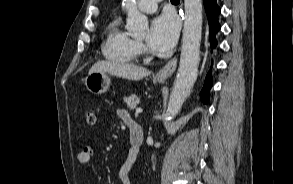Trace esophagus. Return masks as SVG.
<instances>
[{
	"mask_svg": "<svg viewBox=\"0 0 293 184\" xmlns=\"http://www.w3.org/2000/svg\"><path fill=\"white\" fill-rule=\"evenodd\" d=\"M177 56L173 57L159 72L156 74L158 80H165L169 78L176 70Z\"/></svg>",
	"mask_w": 293,
	"mask_h": 184,
	"instance_id": "34e87169",
	"label": "esophagus"
}]
</instances>
